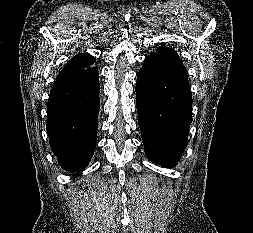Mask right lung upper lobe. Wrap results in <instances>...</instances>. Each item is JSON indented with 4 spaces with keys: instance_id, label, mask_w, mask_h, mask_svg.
<instances>
[{
    "instance_id": "right-lung-upper-lobe-1",
    "label": "right lung upper lobe",
    "mask_w": 253,
    "mask_h": 233,
    "mask_svg": "<svg viewBox=\"0 0 253 233\" xmlns=\"http://www.w3.org/2000/svg\"><path fill=\"white\" fill-rule=\"evenodd\" d=\"M95 62V58L88 53H80L74 56L64 67L68 68H85Z\"/></svg>"
}]
</instances>
